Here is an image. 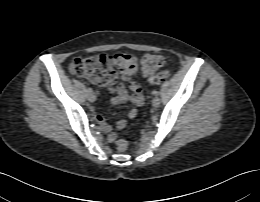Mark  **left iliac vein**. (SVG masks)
Wrapping results in <instances>:
<instances>
[{
	"instance_id": "1",
	"label": "left iliac vein",
	"mask_w": 260,
	"mask_h": 202,
	"mask_svg": "<svg viewBox=\"0 0 260 202\" xmlns=\"http://www.w3.org/2000/svg\"><path fill=\"white\" fill-rule=\"evenodd\" d=\"M152 105H153L154 107H158V106L160 105V99H159L158 97H154V98L152 99Z\"/></svg>"
}]
</instances>
